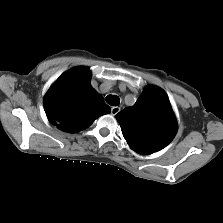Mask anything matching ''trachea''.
<instances>
[{
  "label": "trachea",
  "mask_w": 223,
  "mask_h": 223,
  "mask_svg": "<svg viewBox=\"0 0 223 223\" xmlns=\"http://www.w3.org/2000/svg\"><path fill=\"white\" fill-rule=\"evenodd\" d=\"M105 100L111 106H118L120 103V99L116 95H108Z\"/></svg>",
  "instance_id": "obj_1"
}]
</instances>
